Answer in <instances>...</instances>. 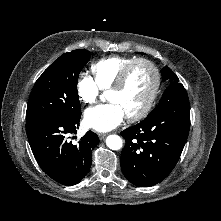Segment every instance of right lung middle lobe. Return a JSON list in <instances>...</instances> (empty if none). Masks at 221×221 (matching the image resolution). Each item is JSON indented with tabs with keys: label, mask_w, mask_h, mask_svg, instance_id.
<instances>
[{
	"label": "right lung middle lobe",
	"mask_w": 221,
	"mask_h": 221,
	"mask_svg": "<svg viewBox=\"0 0 221 221\" xmlns=\"http://www.w3.org/2000/svg\"><path fill=\"white\" fill-rule=\"evenodd\" d=\"M90 56L84 49L65 53L42 73L28 100L26 122L55 115L81 116L77 81Z\"/></svg>",
	"instance_id": "obj_1"
}]
</instances>
